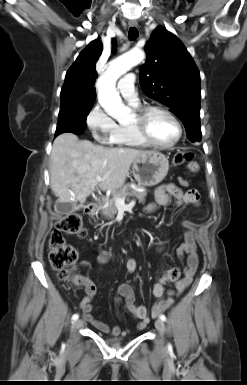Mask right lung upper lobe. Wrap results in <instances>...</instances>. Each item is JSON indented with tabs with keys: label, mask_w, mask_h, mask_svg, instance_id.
I'll use <instances>...</instances> for the list:
<instances>
[{
	"label": "right lung upper lobe",
	"mask_w": 247,
	"mask_h": 385,
	"mask_svg": "<svg viewBox=\"0 0 247 385\" xmlns=\"http://www.w3.org/2000/svg\"><path fill=\"white\" fill-rule=\"evenodd\" d=\"M115 49V43L113 42ZM102 53V43L96 39L79 54L74 64L69 68L61 90V101L76 100L93 102L96 97L93 87L97 77L95 64Z\"/></svg>",
	"instance_id": "right-lung-upper-lobe-1"
}]
</instances>
